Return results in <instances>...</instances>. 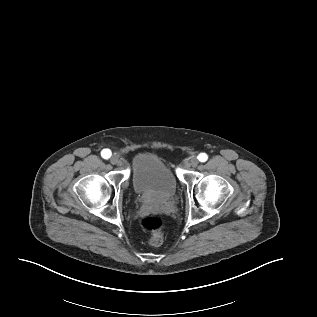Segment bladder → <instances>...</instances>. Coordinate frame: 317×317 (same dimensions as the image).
Returning <instances> with one entry per match:
<instances>
[{
    "mask_svg": "<svg viewBox=\"0 0 317 317\" xmlns=\"http://www.w3.org/2000/svg\"><path fill=\"white\" fill-rule=\"evenodd\" d=\"M131 182L139 198L149 204L170 200L177 191V178L160 157L141 153L133 160Z\"/></svg>",
    "mask_w": 317,
    "mask_h": 317,
    "instance_id": "31cf9c89",
    "label": "bladder"
}]
</instances>
